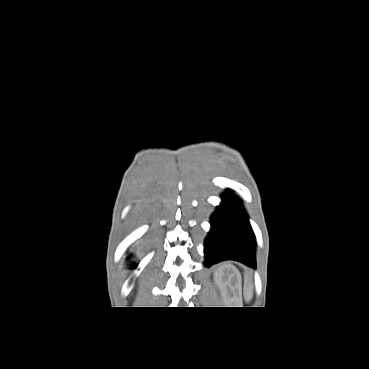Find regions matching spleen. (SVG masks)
Wrapping results in <instances>:
<instances>
[{"label": "spleen", "mask_w": 369, "mask_h": 369, "mask_svg": "<svg viewBox=\"0 0 369 369\" xmlns=\"http://www.w3.org/2000/svg\"><path fill=\"white\" fill-rule=\"evenodd\" d=\"M245 288L247 290H249L250 294L252 292V283H251V279L249 276H246V279H245Z\"/></svg>", "instance_id": "3e777b00"}]
</instances>
